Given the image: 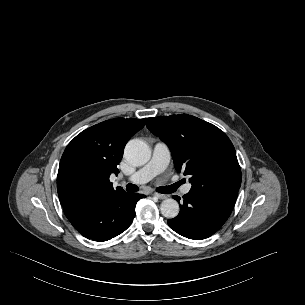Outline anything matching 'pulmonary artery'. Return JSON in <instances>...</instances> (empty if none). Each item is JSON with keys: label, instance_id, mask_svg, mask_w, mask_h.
Here are the masks:
<instances>
[{"label": "pulmonary artery", "instance_id": "1", "mask_svg": "<svg viewBox=\"0 0 305 305\" xmlns=\"http://www.w3.org/2000/svg\"><path fill=\"white\" fill-rule=\"evenodd\" d=\"M170 159L171 154L168 146L165 143L158 141L153 147L151 160L143 168L127 177L126 180L136 184L148 182L167 168ZM190 190L191 184L187 183L182 187L181 192L185 195L188 194Z\"/></svg>", "mask_w": 305, "mask_h": 305}]
</instances>
